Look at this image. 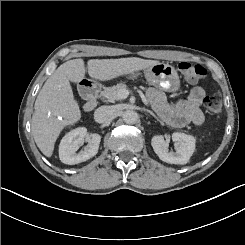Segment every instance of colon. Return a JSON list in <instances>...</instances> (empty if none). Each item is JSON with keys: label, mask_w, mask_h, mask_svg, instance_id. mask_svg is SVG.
Here are the masks:
<instances>
[{"label": "colon", "mask_w": 245, "mask_h": 245, "mask_svg": "<svg viewBox=\"0 0 245 245\" xmlns=\"http://www.w3.org/2000/svg\"><path fill=\"white\" fill-rule=\"evenodd\" d=\"M178 70L182 73L186 80L190 82H198L206 75V70L200 65H194L188 62L178 64ZM207 110L216 118L222 110V101L218 96H208L204 100Z\"/></svg>", "instance_id": "obj_1"}]
</instances>
